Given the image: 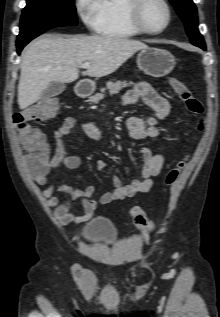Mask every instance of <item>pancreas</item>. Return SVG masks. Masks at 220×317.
Returning a JSON list of instances; mask_svg holds the SVG:
<instances>
[{"instance_id": "pancreas-1", "label": "pancreas", "mask_w": 220, "mask_h": 317, "mask_svg": "<svg viewBox=\"0 0 220 317\" xmlns=\"http://www.w3.org/2000/svg\"><path fill=\"white\" fill-rule=\"evenodd\" d=\"M131 84H132V82L128 83L126 81H116V82L108 81L106 83V87L100 89V93H97L96 95L90 97V102L91 103H98L101 99H103L105 97L104 93L106 90H109L110 95H114V94L119 93V91L121 89H123L124 87H127Z\"/></svg>"}]
</instances>
